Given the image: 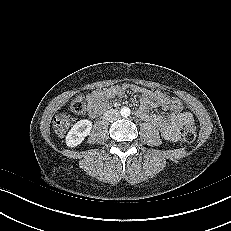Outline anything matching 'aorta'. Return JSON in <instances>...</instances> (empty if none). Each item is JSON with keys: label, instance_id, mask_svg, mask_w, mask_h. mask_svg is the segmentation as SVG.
Here are the masks:
<instances>
[{"label": "aorta", "instance_id": "obj_1", "mask_svg": "<svg viewBox=\"0 0 231 231\" xmlns=\"http://www.w3.org/2000/svg\"><path fill=\"white\" fill-rule=\"evenodd\" d=\"M120 114L122 117H128L130 115V109L128 107H123L120 110Z\"/></svg>", "mask_w": 231, "mask_h": 231}]
</instances>
